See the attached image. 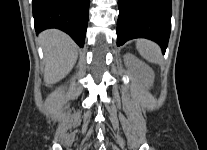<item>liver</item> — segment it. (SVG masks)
I'll list each match as a JSON object with an SVG mask.
<instances>
[{"mask_svg":"<svg viewBox=\"0 0 207 150\" xmlns=\"http://www.w3.org/2000/svg\"><path fill=\"white\" fill-rule=\"evenodd\" d=\"M44 50V82L52 85L63 79L73 68L77 57V46L65 33L51 29L39 36Z\"/></svg>","mask_w":207,"mask_h":150,"instance_id":"liver-1","label":"liver"}]
</instances>
